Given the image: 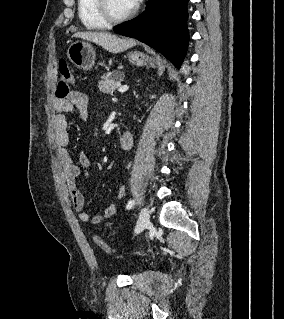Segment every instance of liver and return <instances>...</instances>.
Here are the masks:
<instances>
[{
	"mask_svg": "<svg viewBox=\"0 0 284 319\" xmlns=\"http://www.w3.org/2000/svg\"><path fill=\"white\" fill-rule=\"evenodd\" d=\"M73 37L94 42L111 53H120L136 45L134 39H121L108 32H77Z\"/></svg>",
	"mask_w": 284,
	"mask_h": 319,
	"instance_id": "obj_1",
	"label": "liver"
}]
</instances>
